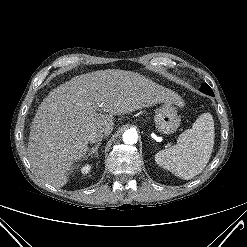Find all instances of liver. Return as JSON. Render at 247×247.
Wrapping results in <instances>:
<instances>
[{
  "instance_id": "1",
  "label": "liver",
  "mask_w": 247,
  "mask_h": 247,
  "mask_svg": "<svg viewBox=\"0 0 247 247\" xmlns=\"http://www.w3.org/2000/svg\"><path fill=\"white\" fill-rule=\"evenodd\" d=\"M181 97L143 75L124 70H100L72 78L53 89L32 121L28 158L46 183L56 188L89 151L88 135H109L113 115H123L158 103H181Z\"/></svg>"
}]
</instances>
